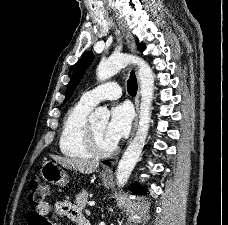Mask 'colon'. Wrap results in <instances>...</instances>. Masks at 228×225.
I'll use <instances>...</instances> for the list:
<instances>
[{"label":"colon","mask_w":228,"mask_h":225,"mask_svg":"<svg viewBox=\"0 0 228 225\" xmlns=\"http://www.w3.org/2000/svg\"><path fill=\"white\" fill-rule=\"evenodd\" d=\"M28 189V203L31 207L40 206L50 191V188L39 177H33L30 180Z\"/></svg>","instance_id":"5ec220e1"}]
</instances>
